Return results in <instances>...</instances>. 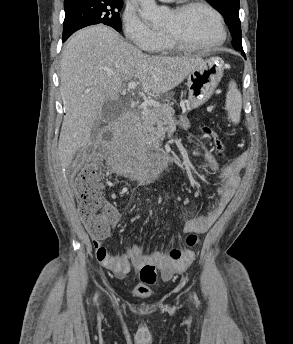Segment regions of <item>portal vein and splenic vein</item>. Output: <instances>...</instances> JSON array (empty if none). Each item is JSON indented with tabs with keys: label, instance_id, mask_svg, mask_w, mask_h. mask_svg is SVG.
<instances>
[{
	"label": "portal vein and splenic vein",
	"instance_id": "1",
	"mask_svg": "<svg viewBox=\"0 0 293 344\" xmlns=\"http://www.w3.org/2000/svg\"><path fill=\"white\" fill-rule=\"evenodd\" d=\"M137 84L135 81H130L128 83V89H135L137 87Z\"/></svg>",
	"mask_w": 293,
	"mask_h": 344
}]
</instances>
